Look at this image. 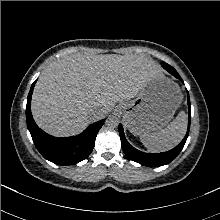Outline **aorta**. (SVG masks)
Masks as SVG:
<instances>
[{"label": "aorta", "mask_w": 220, "mask_h": 220, "mask_svg": "<svg viewBox=\"0 0 220 220\" xmlns=\"http://www.w3.org/2000/svg\"><path fill=\"white\" fill-rule=\"evenodd\" d=\"M106 125L110 128H116L119 125V119L116 116H109L106 120Z\"/></svg>", "instance_id": "aorta-1"}]
</instances>
